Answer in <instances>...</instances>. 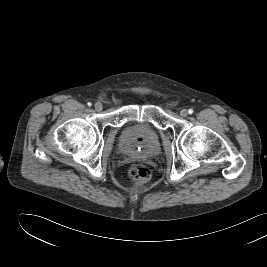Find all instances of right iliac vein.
Segmentation results:
<instances>
[{"mask_svg":"<svg viewBox=\"0 0 267 267\" xmlns=\"http://www.w3.org/2000/svg\"><path fill=\"white\" fill-rule=\"evenodd\" d=\"M94 107L96 111L100 112L103 109V104L101 102H96Z\"/></svg>","mask_w":267,"mask_h":267,"instance_id":"1","label":"right iliac vein"}]
</instances>
